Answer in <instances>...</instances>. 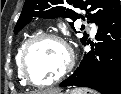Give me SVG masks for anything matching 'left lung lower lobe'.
<instances>
[{"instance_id": "left-lung-lower-lobe-1", "label": "left lung lower lobe", "mask_w": 121, "mask_h": 94, "mask_svg": "<svg viewBox=\"0 0 121 94\" xmlns=\"http://www.w3.org/2000/svg\"><path fill=\"white\" fill-rule=\"evenodd\" d=\"M98 26V42L60 87L81 86L101 94H121V10Z\"/></svg>"}]
</instances>
